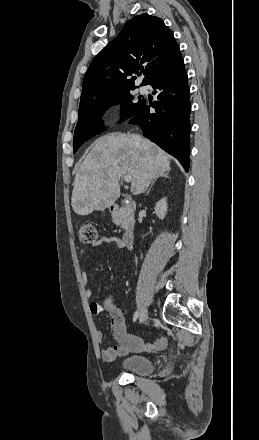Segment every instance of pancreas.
<instances>
[{"mask_svg":"<svg viewBox=\"0 0 259 440\" xmlns=\"http://www.w3.org/2000/svg\"><path fill=\"white\" fill-rule=\"evenodd\" d=\"M114 223L116 225L120 226L122 229L128 228L127 218H126V215L124 213H121L119 215V218L114 220Z\"/></svg>","mask_w":259,"mask_h":440,"instance_id":"cf45deb5","label":"pancreas"}]
</instances>
